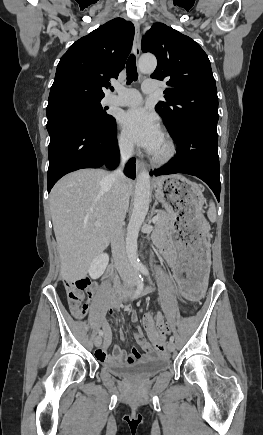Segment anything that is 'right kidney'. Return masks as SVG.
Returning <instances> with one entry per match:
<instances>
[{
	"label": "right kidney",
	"mask_w": 263,
	"mask_h": 435,
	"mask_svg": "<svg viewBox=\"0 0 263 435\" xmlns=\"http://www.w3.org/2000/svg\"><path fill=\"white\" fill-rule=\"evenodd\" d=\"M109 262V256L106 253H102L96 256L90 266H89V275L92 279L99 278L105 271Z\"/></svg>",
	"instance_id": "right-kidney-1"
}]
</instances>
